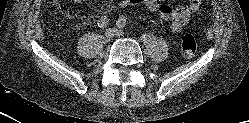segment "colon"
I'll list each match as a JSON object with an SVG mask.
<instances>
[{
	"label": "colon",
	"instance_id": "obj_1",
	"mask_svg": "<svg viewBox=\"0 0 249 123\" xmlns=\"http://www.w3.org/2000/svg\"><path fill=\"white\" fill-rule=\"evenodd\" d=\"M197 51V42L192 34H185L181 40V53L186 58H191Z\"/></svg>",
	"mask_w": 249,
	"mask_h": 123
}]
</instances>
